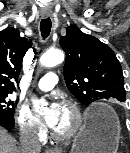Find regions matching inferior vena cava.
I'll return each instance as SVG.
<instances>
[{
    "label": "inferior vena cava",
    "instance_id": "obj_1",
    "mask_svg": "<svg viewBox=\"0 0 130 153\" xmlns=\"http://www.w3.org/2000/svg\"><path fill=\"white\" fill-rule=\"evenodd\" d=\"M21 152L40 153L41 145L36 131L33 129H23L21 131Z\"/></svg>",
    "mask_w": 130,
    "mask_h": 153
}]
</instances>
